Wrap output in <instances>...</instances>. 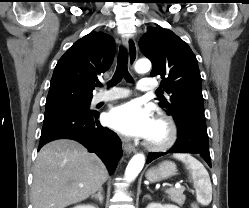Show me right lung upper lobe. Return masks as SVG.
<instances>
[{
  "label": "right lung upper lobe",
  "mask_w": 249,
  "mask_h": 208,
  "mask_svg": "<svg viewBox=\"0 0 249 208\" xmlns=\"http://www.w3.org/2000/svg\"><path fill=\"white\" fill-rule=\"evenodd\" d=\"M114 53L113 38L101 32L76 41L57 62L46 108L91 100L97 76L110 68Z\"/></svg>",
  "instance_id": "cb5924a9"
}]
</instances>
